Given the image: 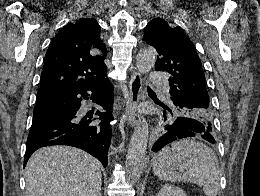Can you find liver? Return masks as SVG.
Listing matches in <instances>:
<instances>
[{
  "label": "liver",
  "instance_id": "6515ba94",
  "mask_svg": "<svg viewBox=\"0 0 260 196\" xmlns=\"http://www.w3.org/2000/svg\"><path fill=\"white\" fill-rule=\"evenodd\" d=\"M25 180V196H101L98 160L68 146L34 152L26 164Z\"/></svg>",
  "mask_w": 260,
  "mask_h": 196
}]
</instances>
